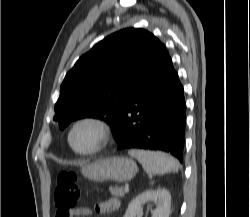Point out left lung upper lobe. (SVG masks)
Returning <instances> with one entry per match:
<instances>
[{"instance_id":"1","label":"left lung upper lobe","mask_w":250,"mask_h":217,"mask_svg":"<svg viewBox=\"0 0 250 217\" xmlns=\"http://www.w3.org/2000/svg\"><path fill=\"white\" fill-rule=\"evenodd\" d=\"M161 46L153 34L139 28L104 38L66 74L53 119L64 129L77 119L99 118L115 134L133 89L152 67Z\"/></svg>"}]
</instances>
